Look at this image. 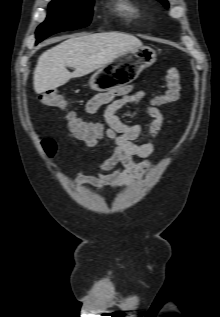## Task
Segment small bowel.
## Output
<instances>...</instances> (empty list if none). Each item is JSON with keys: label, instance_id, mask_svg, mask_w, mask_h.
Masks as SVG:
<instances>
[{"label": "small bowel", "instance_id": "small-bowel-1", "mask_svg": "<svg viewBox=\"0 0 220 317\" xmlns=\"http://www.w3.org/2000/svg\"><path fill=\"white\" fill-rule=\"evenodd\" d=\"M116 94L119 98L114 99ZM144 97L143 91L131 92L130 89L124 88L117 92L98 93L87 102L85 110L88 114H94L101 106L107 105L104 122H81L82 127L72 129L69 137L82 141L87 148H93L100 142L107 141L113 145V153L100 162L99 172L96 175L77 173L74 177L75 185L90 184L100 191L105 186L119 188L130 185L145 174L150 166V157L155 151V146L151 141H138L145 133L141 124L123 122L117 115L127 103L140 102ZM148 111L152 121L148 125L147 132L154 138L161 131L163 116L155 105H150ZM137 158L141 161H137ZM117 165H121V168L106 173Z\"/></svg>", "mask_w": 220, "mask_h": 317}]
</instances>
